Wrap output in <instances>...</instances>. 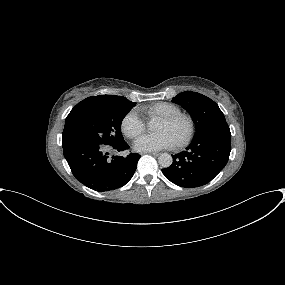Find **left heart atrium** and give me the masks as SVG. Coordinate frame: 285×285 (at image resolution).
I'll list each match as a JSON object with an SVG mask.
<instances>
[{
  "label": "left heart atrium",
  "instance_id": "obj_1",
  "mask_svg": "<svg viewBox=\"0 0 285 285\" xmlns=\"http://www.w3.org/2000/svg\"><path fill=\"white\" fill-rule=\"evenodd\" d=\"M174 145L172 139L163 132L152 135H141L134 142V149L139 152H150L171 148Z\"/></svg>",
  "mask_w": 285,
  "mask_h": 285
}]
</instances>
